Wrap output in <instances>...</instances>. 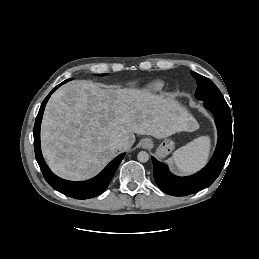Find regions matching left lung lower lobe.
<instances>
[{
    "label": "left lung lower lobe",
    "mask_w": 259,
    "mask_h": 259,
    "mask_svg": "<svg viewBox=\"0 0 259 259\" xmlns=\"http://www.w3.org/2000/svg\"><path fill=\"white\" fill-rule=\"evenodd\" d=\"M204 106L215 117L218 130V143L213 157L201 171L192 176L177 177L169 172L167 165L151 157L155 182L163 192L169 195H190L210 186L219 176L230 153L232 144V119L229 106L226 101H204Z\"/></svg>",
    "instance_id": "0a47b994"
}]
</instances>
